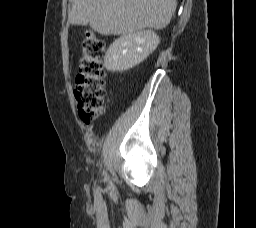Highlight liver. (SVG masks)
<instances>
[{"mask_svg":"<svg viewBox=\"0 0 256 228\" xmlns=\"http://www.w3.org/2000/svg\"><path fill=\"white\" fill-rule=\"evenodd\" d=\"M68 22L90 25L101 35H126L145 28L163 29L176 10V0H71Z\"/></svg>","mask_w":256,"mask_h":228,"instance_id":"liver-1","label":"liver"}]
</instances>
